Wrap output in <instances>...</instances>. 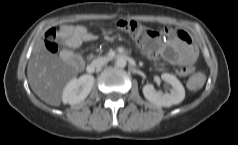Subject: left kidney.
<instances>
[{
    "label": "left kidney",
    "instance_id": "obj_1",
    "mask_svg": "<svg viewBox=\"0 0 238 145\" xmlns=\"http://www.w3.org/2000/svg\"><path fill=\"white\" fill-rule=\"evenodd\" d=\"M161 78L172 86L171 92L163 94L157 92L153 85L147 84L143 87L144 97L157 106L169 107L181 103L185 98V89L181 82L169 73H163Z\"/></svg>",
    "mask_w": 238,
    "mask_h": 145
}]
</instances>
